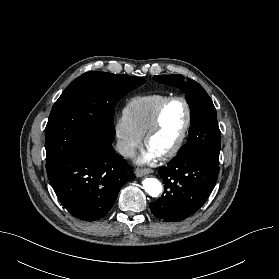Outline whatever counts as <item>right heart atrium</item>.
Here are the masks:
<instances>
[{
    "mask_svg": "<svg viewBox=\"0 0 279 279\" xmlns=\"http://www.w3.org/2000/svg\"><path fill=\"white\" fill-rule=\"evenodd\" d=\"M115 134L118 150L123 156H130L142 140V136L135 131L124 114L116 120Z\"/></svg>",
    "mask_w": 279,
    "mask_h": 279,
    "instance_id": "obj_1",
    "label": "right heart atrium"
}]
</instances>
